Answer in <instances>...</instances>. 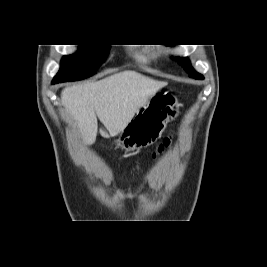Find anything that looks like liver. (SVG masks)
<instances>
[{
    "label": "liver",
    "instance_id": "liver-1",
    "mask_svg": "<svg viewBox=\"0 0 267 267\" xmlns=\"http://www.w3.org/2000/svg\"><path fill=\"white\" fill-rule=\"evenodd\" d=\"M166 85L167 82L135 71H123L99 81L66 87L61 92V101L76 121L83 142L91 145L97 136V117L109 132L101 130L103 137L117 136L135 113Z\"/></svg>",
    "mask_w": 267,
    "mask_h": 267
}]
</instances>
